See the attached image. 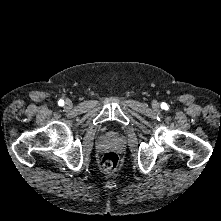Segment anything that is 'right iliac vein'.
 I'll list each match as a JSON object with an SVG mask.
<instances>
[{
	"label": "right iliac vein",
	"mask_w": 221,
	"mask_h": 221,
	"mask_svg": "<svg viewBox=\"0 0 221 221\" xmlns=\"http://www.w3.org/2000/svg\"><path fill=\"white\" fill-rule=\"evenodd\" d=\"M65 107H66L67 109H70V108L72 107V102H71V100H66Z\"/></svg>",
	"instance_id": "right-iliac-vein-1"
}]
</instances>
